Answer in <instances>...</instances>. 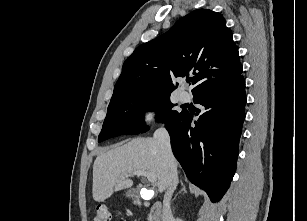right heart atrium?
Segmentation results:
<instances>
[{"mask_svg":"<svg viewBox=\"0 0 307 221\" xmlns=\"http://www.w3.org/2000/svg\"><path fill=\"white\" fill-rule=\"evenodd\" d=\"M156 118V109L154 108H148L146 109L142 114V121L145 124L152 123Z\"/></svg>","mask_w":307,"mask_h":221,"instance_id":"right-heart-atrium-1","label":"right heart atrium"}]
</instances>
